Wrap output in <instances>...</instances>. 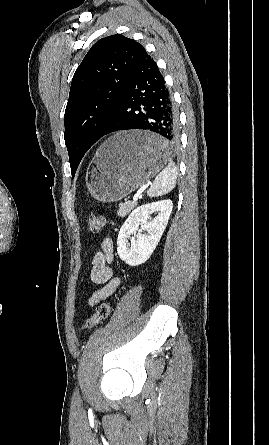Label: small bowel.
I'll return each instance as SVG.
<instances>
[{"label":"small bowel","instance_id":"obj_1","mask_svg":"<svg viewBox=\"0 0 269 445\" xmlns=\"http://www.w3.org/2000/svg\"><path fill=\"white\" fill-rule=\"evenodd\" d=\"M112 259L113 242L110 238H106L101 244V250L97 251L92 259L91 280L100 287L89 297L87 301L89 307L107 299L120 285V278L114 275L110 267Z\"/></svg>","mask_w":269,"mask_h":445}]
</instances>
